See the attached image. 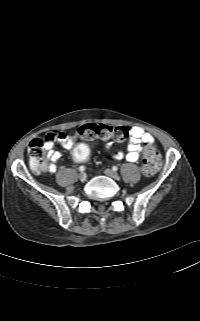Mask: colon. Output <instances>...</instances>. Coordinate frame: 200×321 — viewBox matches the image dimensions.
I'll list each match as a JSON object with an SVG mask.
<instances>
[{"label": "colon", "instance_id": "colon-1", "mask_svg": "<svg viewBox=\"0 0 200 321\" xmlns=\"http://www.w3.org/2000/svg\"><path fill=\"white\" fill-rule=\"evenodd\" d=\"M127 136V130L123 127H113L108 125L86 124L76 129L72 138L78 140H115L123 141ZM45 139H51L47 136ZM70 153L77 163L84 162L90 154V147L85 142H78L71 146ZM30 166L36 173L44 172L48 169L47 153L45 142L41 139H34L28 147ZM161 166V155L151 144L146 145L143 152L142 172L145 176L154 175Z\"/></svg>", "mask_w": 200, "mask_h": 321}]
</instances>
